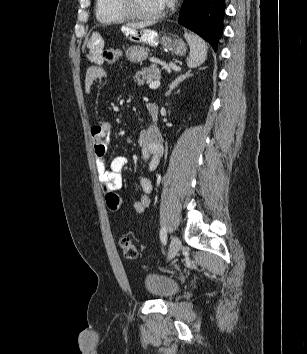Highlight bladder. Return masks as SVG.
Instances as JSON below:
<instances>
[{"label": "bladder", "mask_w": 307, "mask_h": 354, "mask_svg": "<svg viewBox=\"0 0 307 354\" xmlns=\"http://www.w3.org/2000/svg\"><path fill=\"white\" fill-rule=\"evenodd\" d=\"M143 285L146 292L156 299H170L180 290L179 283L170 276L151 272L145 275Z\"/></svg>", "instance_id": "obj_1"}]
</instances>
